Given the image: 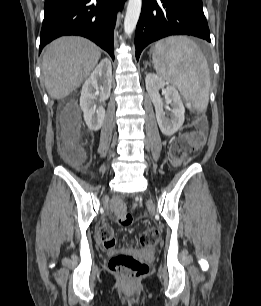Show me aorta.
Wrapping results in <instances>:
<instances>
[{"instance_id":"762f6f07","label":"aorta","mask_w":261,"mask_h":306,"mask_svg":"<svg viewBox=\"0 0 261 306\" xmlns=\"http://www.w3.org/2000/svg\"><path fill=\"white\" fill-rule=\"evenodd\" d=\"M142 7V0H129L124 19V32L130 36L137 25Z\"/></svg>"}]
</instances>
